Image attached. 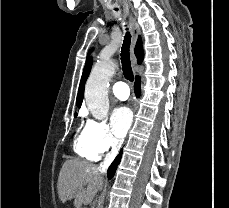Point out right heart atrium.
Here are the masks:
<instances>
[{
  "label": "right heart atrium",
  "mask_w": 229,
  "mask_h": 208,
  "mask_svg": "<svg viewBox=\"0 0 229 208\" xmlns=\"http://www.w3.org/2000/svg\"><path fill=\"white\" fill-rule=\"evenodd\" d=\"M83 139L86 145L98 155L120 145V140L113 135L110 127L104 121L92 118L86 120Z\"/></svg>",
  "instance_id": "obj_1"
}]
</instances>
